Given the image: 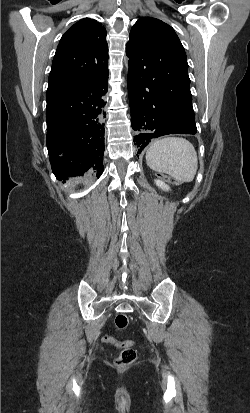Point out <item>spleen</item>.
<instances>
[{
    "instance_id": "obj_1",
    "label": "spleen",
    "mask_w": 250,
    "mask_h": 413,
    "mask_svg": "<svg viewBox=\"0 0 250 413\" xmlns=\"http://www.w3.org/2000/svg\"><path fill=\"white\" fill-rule=\"evenodd\" d=\"M146 162L152 170L166 173L178 182L193 181L198 168L194 146L180 137L155 141L146 152Z\"/></svg>"
}]
</instances>
